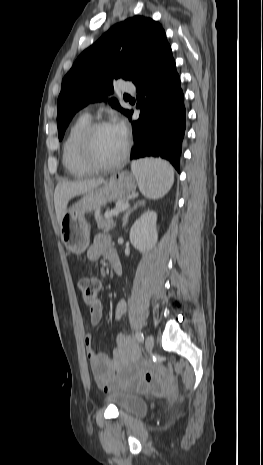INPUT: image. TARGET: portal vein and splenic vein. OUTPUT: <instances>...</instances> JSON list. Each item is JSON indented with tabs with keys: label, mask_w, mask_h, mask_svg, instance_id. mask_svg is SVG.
Masks as SVG:
<instances>
[{
	"label": "portal vein and splenic vein",
	"mask_w": 263,
	"mask_h": 465,
	"mask_svg": "<svg viewBox=\"0 0 263 465\" xmlns=\"http://www.w3.org/2000/svg\"><path fill=\"white\" fill-rule=\"evenodd\" d=\"M128 207H129V204H128V203L122 204V205L118 206L117 208H115L114 210L105 213V217H106V218H109V217H112V216H116V215H118L120 212L126 210Z\"/></svg>",
	"instance_id": "portal-vein-and-splenic-vein-1"
}]
</instances>
